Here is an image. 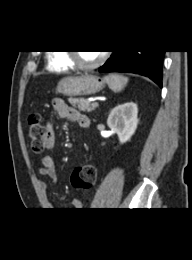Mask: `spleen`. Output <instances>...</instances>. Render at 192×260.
I'll list each match as a JSON object with an SVG mask.
<instances>
[{
	"label": "spleen",
	"mask_w": 192,
	"mask_h": 260,
	"mask_svg": "<svg viewBox=\"0 0 192 260\" xmlns=\"http://www.w3.org/2000/svg\"><path fill=\"white\" fill-rule=\"evenodd\" d=\"M104 81L114 92L122 91L128 83V77L119 74H109L104 77Z\"/></svg>",
	"instance_id": "obj_1"
}]
</instances>
